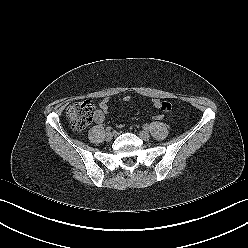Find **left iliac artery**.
I'll list each match as a JSON object with an SVG mask.
<instances>
[{"instance_id": "obj_1", "label": "left iliac artery", "mask_w": 248, "mask_h": 248, "mask_svg": "<svg viewBox=\"0 0 248 248\" xmlns=\"http://www.w3.org/2000/svg\"><path fill=\"white\" fill-rule=\"evenodd\" d=\"M144 129H145V130H148V129H149V125H148V124H145V125H144Z\"/></svg>"}]
</instances>
